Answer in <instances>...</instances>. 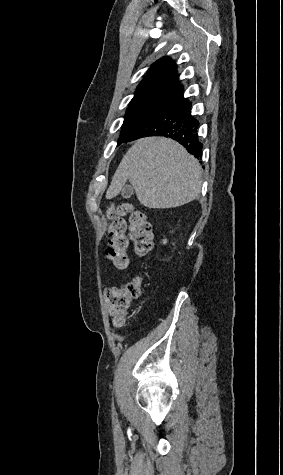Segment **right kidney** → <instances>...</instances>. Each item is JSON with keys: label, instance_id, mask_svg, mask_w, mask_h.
<instances>
[{"label": "right kidney", "instance_id": "ca27d5eb", "mask_svg": "<svg viewBox=\"0 0 283 475\" xmlns=\"http://www.w3.org/2000/svg\"><path fill=\"white\" fill-rule=\"evenodd\" d=\"M163 243H167V239H163Z\"/></svg>", "mask_w": 283, "mask_h": 475}]
</instances>
